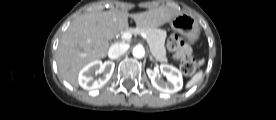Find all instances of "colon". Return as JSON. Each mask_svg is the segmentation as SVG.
Wrapping results in <instances>:
<instances>
[{
	"label": "colon",
	"mask_w": 276,
	"mask_h": 120,
	"mask_svg": "<svg viewBox=\"0 0 276 120\" xmlns=\"http://www.w3.org/2000/svg\"><path fill=\"white\" fill-rule=\"evenodd\" d=\"M167 45L178 60L182 73L192 76L196 72L199 63L189 53L185 52L186 46L182 37L176 33L172 34L168 39Z\"/></svg>",
	"instance_id": "5ec220e1"
}]
</instances>
